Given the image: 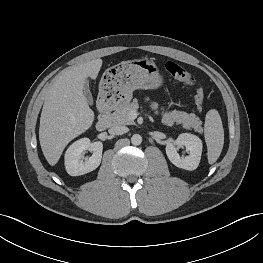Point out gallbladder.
Segmentation results:
<instances>
[{"label":"gallbladder","instance_id":"obj_1","mask_svg":"<svg viewBox=\"0 0 263 263\" xmlns=\"http://www.w3.org/2000/svg\"><path fill=\"white\" fill-rule=\"evenodd\" d=\"M83 93H84L88 103L90 105H92L93 104V98H92V94H91V92L89 90V82H88V80H85Z\"/></svg>","mask_w":263,"mask_h":263}]
</instances>
